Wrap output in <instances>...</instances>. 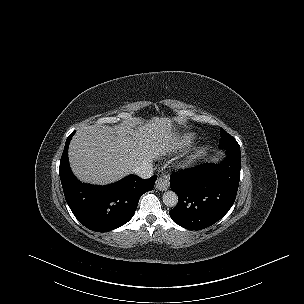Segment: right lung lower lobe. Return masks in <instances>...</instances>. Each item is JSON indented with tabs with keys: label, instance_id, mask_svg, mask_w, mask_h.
Listing matches in <instances>:
<instances>
[{
	"label": "right lung lower lobe",
	"instance_id": "98d812e1",
	"mask_svg": "<svg viewBox=\"0 0 304 304\" xmlns=\"http://www.w3.org/2000/svg\"><path fill=\"white\" fill-rule=\"evenodd\" d=\"M74 133L66 140L59 167L65 199L74 216L88 229L96 232L114 230L133 217L140 197L153 188L157 176L142 179L129 175L106 186L81 183L68 162L69 142Z\"/></svg>",
	"mask_w": 304,
	"mask_h": 304
}]
</instances>
